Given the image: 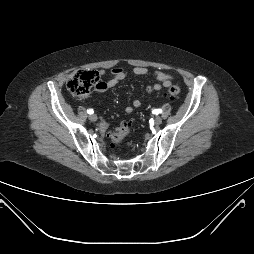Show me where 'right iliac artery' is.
I'll use <instances>...</instances> for the list:
<instances>
[{
  "label": "right iliac artery",
  "mask_w": 254,
  "mask_h": 254,
  "mask_svg": "<svg viewBox=\"0 0 254 254\" xmlns=\"http://www.w3.org/2000/svg\"><path fill=\"white\" fill-rule=\"evenodd\" d=\"M93 112H94V111H93L92 109H88V110H87V113H88V114H93Z\"/></svg>",
  "instance_id": "82829eb1"
}]
</instances>
